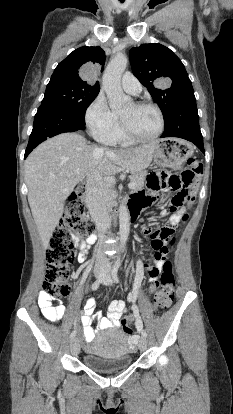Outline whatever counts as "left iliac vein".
Wrapping results in <instances>:
<instances>
[{
  "mask_svg": "<svg viewBox=\"0 0 233 414\" xmlns=\"http://www.w3.org/2000/svg\"><path fill=\"white\" fill-rule=\"evenodd\" d=\"M103 284H105V285L112 284V279H111V275H110V267L106 270V275H105V278L103 280ZM138 347L141 351L146 350L147 340L144 336H141V338L139 340V343H138Z\"/></svg>",
  "mask_w": 233,
  "mask_h": 414,
  "instance_id": "1",
  "label": "left iliac vein"
}]
</instances>
